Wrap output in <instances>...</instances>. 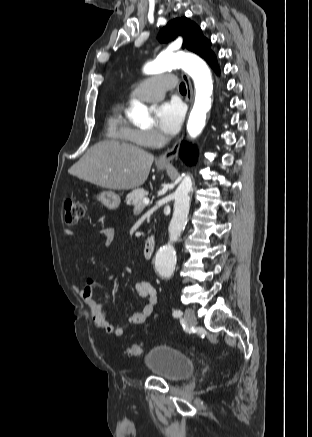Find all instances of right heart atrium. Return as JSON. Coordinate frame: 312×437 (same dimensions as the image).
Returning <instances> with one entry per match:
<instances>
[{
  "instance_id": "obj_1",
  "label": "right heart atrium",
  "mask_w": 312,
  "mask_h": 437,
  "mask_svg": "<svg viewBox=\"0 0 312 437\" xmlns=\"http://www.w3.org/2000/svg\"><path fill=\"white\" fill-rule=\"evenodd\" d=\"M139 134L144 145L154 146L161 141V136L154 130L140 131Z\"/></svg>"
}]
</instances>
